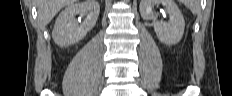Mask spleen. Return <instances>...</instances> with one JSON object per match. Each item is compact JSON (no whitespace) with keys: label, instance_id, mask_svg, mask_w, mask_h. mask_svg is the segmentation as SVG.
Segmentation results:
<instances>
[{"label":"spleen","instance_id":"obj_1","mask_svg":"<svg viewBox=\"0 0 232 96\" xmlns=\"http://www.w3.org/2000/svg\"><path fill=\"white\" fill-rule=\"evenodd\" d=\"M184 5L191 10L193 14H197L200 11L199 0H183Z\"/></svg>","mask_w":232,"mask_h":96}]
</instances>
